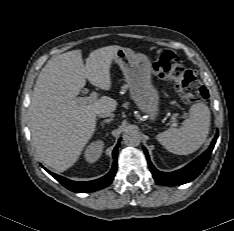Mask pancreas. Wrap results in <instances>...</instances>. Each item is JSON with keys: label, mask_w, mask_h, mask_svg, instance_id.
<instances>
[{"label": "pancreas", "mask_w": 234, "mask_h": 231, "mask_svg": "<svg viewBox=\"0 0 234 231\" xmlns=\"http://www.w3.org/2000/svg\"><path fill=\"white\" fill-rule=\"evenodd\" d=\"M127 87L126 86H123L122 89L125 90Z\"/></svg>", "instance_id": "cf45deb5"}]
</instances>
